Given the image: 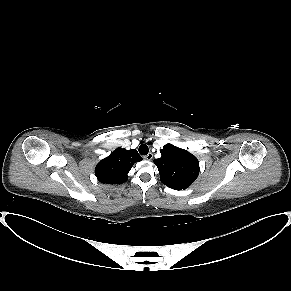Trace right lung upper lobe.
Segmentation results:
<instances>
[{
	"label": "right lung upper lobe",
	"mask_w": 291,
	"mask_h": 291,
	"mask_svg": "<svg viewBox=\"0 0 291 291\" xmlns=\"http://www.w3.org/2000/svg\"><path fill=\"white\" fill-rule=\"evenodd\" d=\"M142 157L136 150L117 148L108 157L102 159L95 168L97 179L105 184H121L128 179V172L134 163Z\"/></svg>",
	"instance_id": "obj_1"
}]
</instances>
